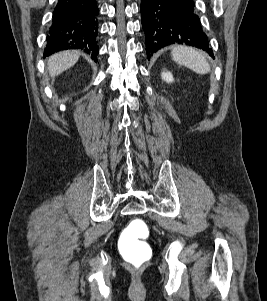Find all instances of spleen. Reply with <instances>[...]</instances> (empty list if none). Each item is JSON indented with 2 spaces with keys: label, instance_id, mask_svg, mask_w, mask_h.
<instances>
[{
  "label": "spleen",
  "instance_id": "spleen-1",
  "mask_svg": "<svg viewBox=\"0 0 267 301\" xmlns=\"http://www.w3.org/2000/svg\"><path fill=\"white\" fill-rule=\"evenodd\" d=\"M172 59L179 65L185 66L195 73L207 74L210 72V65L203 54L185 46H176L171 51Z\"/></svg>",
  "mask_w": 267,
  "mask_h": 301
}]
</instances>
